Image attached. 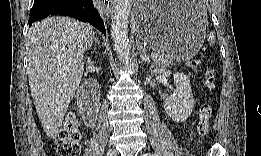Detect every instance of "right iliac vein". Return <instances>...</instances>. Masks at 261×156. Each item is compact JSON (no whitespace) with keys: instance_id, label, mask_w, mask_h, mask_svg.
Returning a JSON list of instances; mask_svg holds the SVG:
<instances>
[{"instance_id":"63e3f726","label":"right iliac vein","mask_w":261,"mask_h":156,"mask_svg":"<svg viewBox=\"0 0 261 156\" xmlns=\"http://www.w3.org/2000/svg\"><path fill=\"white\" fill-rule=\"evenodd\" d=\"M117 155V153H116V150L115 149H109L108 151H107V156H116Z\"/></svg>"}]
</instances>
